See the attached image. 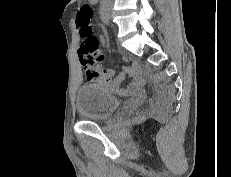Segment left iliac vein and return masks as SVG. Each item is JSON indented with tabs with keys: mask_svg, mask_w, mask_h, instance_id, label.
<instances>
[{
	"mask_svg": "<svg viewBox=\"0 0 231 177\" xmlns=\"http://www.w3.org/2000/svg\"><path fill=\"white\" fill-rule=\"evenodd\" d=\"M108 15H109V17L111 16V15H110V11H109Z\"/></svg>",
	"mask_w": 231,
	"mask_h": 177,
	"instance_id": "left-iliac-vein-1",
	"label": "left iliac vein"
}]
</instances>
